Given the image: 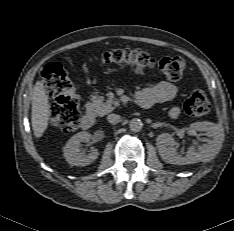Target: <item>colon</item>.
Wrapping results in <instances>:
<instances>
[{
	"label": "colon",
	"instance_id": "5ec220e1",
	"mask_svg": "<svg viewBox=\"0 0 234 231\" xmlns=\"http://www.w3.org/2000/svg\"><path fill=\"white\" fill-rule=\"evenodd\" d=\"M105 64L122 65L133 68L138 73L157 69L170 81L182 78L186 68L185 60L180 56L154 58L143 51L111 50L101 54ZM45 91L54 99L50 121L61 131H75L81 121V106L76 87L66 70L58 63H49L42 70ZM191 116H202L209 111V101L201 88H193L184 104Z\"/></svg>",
	"mask_w": 234,
	"mask_h": 231
}]
</instances>
